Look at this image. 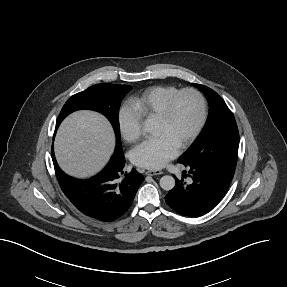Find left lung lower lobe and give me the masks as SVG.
I'll use <instances>...</instances> for the list:
<instances>
[{"label": "left lung lower lobe", "instance_id": "left-lung-lower-lobe-1", "mask_svg": "<svg viewBox=\"0 0 287 287\" xmlns=\"http://www.w3.org/2000/svg\"><path fill=\"white\" fill-rule=\"evenodd\" d=\"M187 167L192 182L186 184L183 179L176 178V185L165 196V201L177 213L196 217L207 213L222 200L234 172L203 164Z\"/></svg>", "mask_w": 287, "mask_h": 287}]
</instances>
